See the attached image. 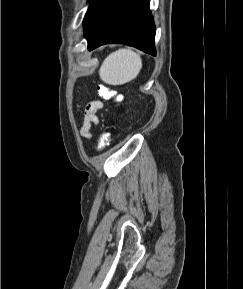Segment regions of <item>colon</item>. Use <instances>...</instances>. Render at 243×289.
Returning <instances> with one entry per match:
<instances>
[{
	"label": "colon",
	"instance_id": "5ec220e1",
	"mask_svg": "<svg viewBox=\"0 0 243 289\" xmlns=\"http://www.w3.org/2000/svg\"><path fill=\"white\" fill-rule=\"evenodd\" d=\"M98 94L101 98L105 100H115L119 101L121 99V96L116 93V91L108 86L99 85L97 87ZM111 134L109 131H104L99 138L98 150H103L110 141Z\"/></svg>",
	"mask_w": 243,
	"mask_h": 289
}]
</instances>
